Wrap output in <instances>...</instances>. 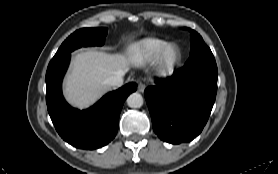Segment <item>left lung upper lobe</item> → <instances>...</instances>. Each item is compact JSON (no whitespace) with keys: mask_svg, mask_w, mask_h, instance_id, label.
Instances as JSON below:
<instances>
[{"mask_svg":"<svg viewBox=\"0 0 278 174\" xmlns=\"http://www.w3.org/2000/svg\"><path fill=\"white\" fill-rule=\"evenodd\" d=\"M187 29V28H185ZM191 32V52L184 67L203 66L217 71L215 58L210 48L204 43L202 37L194 30Z\"/></svg>","mask_w":278,"mask_h":174,"instance_id":"1","label":"left lung upper lobe"}]
</instances>
